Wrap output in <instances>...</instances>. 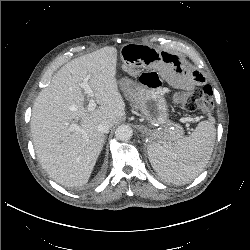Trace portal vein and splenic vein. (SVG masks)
Masks as SVG:
<instances>
[{
    "label": "portal vein and splenic vein",
    "mask_w": 250,
    "mask_h": 250,
    "mask_svg": "<svg viewBox=\"0 0 250 250\" xmlns=\"http://www.w3.org/2000/svg\"><path fill=\"white\" fill-rule=\"evenodd\" d=\"M90 76H86L83 80V82H81L79 84V86L84 89L85 93L87 94V97L89 98V104H88V107L87 109L89 111H93L95 108H96V102L94 100V93H93V90L91 89V87L89 86L88 84V80H89ZM71 129L72 130H79V126L77 124H73L71 126Z\"/></svg>",
    "instance_id": "1"
}]
</instances>
